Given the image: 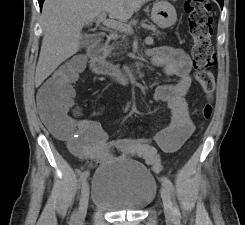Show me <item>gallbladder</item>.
<instances>
[{
  "label": "gallbladder",
  "instance_id": "bac80fb5",
  "mask_svg": "<svg viewBox=\"0 0 245 225\" xmlns=\"http://www.w3.org/2000/svg\"><path fill=\"white\" fill-rule=\"evenodd\" d=\"M92 42H93V37L91 35L84 34L80 41V48H85Z\"/></svg>",
  "mask_w": 245,
  "mask_h": 225
}]
</instances>
